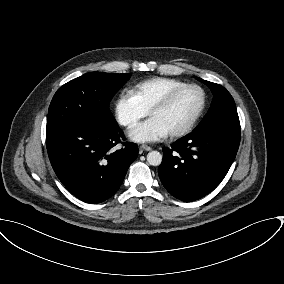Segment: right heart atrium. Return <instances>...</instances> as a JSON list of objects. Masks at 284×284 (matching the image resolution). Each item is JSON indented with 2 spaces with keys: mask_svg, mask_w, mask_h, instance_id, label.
<instances>
[{
  "mask_svg": "<svg viewBox=\"0 0 284 284\" xmlns=\"http://www.w3.org/2000/svg\"><path fill=\"white\" fill-rule=\"evenodd\" d=\"M116 121L124 127H132L148 114L131 91L122 92L115 101Z\"/></svg>",
  "mask_w": 284,
  "mask_h": 284,
  "instance_id": "obj_1",
  "label": "right heart atrium"
}]
</instances>
